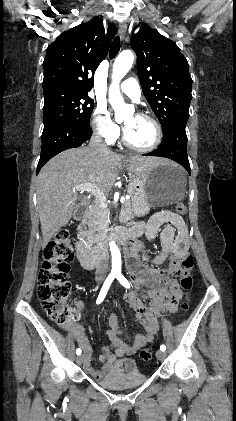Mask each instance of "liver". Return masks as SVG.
Returning a JSON list of instances; mask_svg holds the SVG:
<instances>
[{"label":"liver","instance_id":"1","mask_svg":"<svg viewBox=\"0 0 236 421\" xmlns=\"http://www.w3.org/2000/svg\"><path fill=\"white\" fill-rule=\"evenodd\" d=\"M121 158L120 154L111 150L103 152L80 146L63 150L44 164L37 176V206L43 247L72 217L78 198V190H74L73 186L92 182L106 194L123 166ZM128 160L126 166L129 168L162 162L154 156H131Z\"/></svg>","mask_w":236,"mask_h":421}]
</instances>
